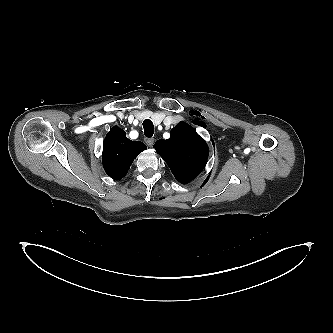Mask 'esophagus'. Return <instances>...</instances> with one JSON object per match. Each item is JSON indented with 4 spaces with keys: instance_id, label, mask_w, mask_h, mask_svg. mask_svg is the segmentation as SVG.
<instances>
[{
    "instance_id": "obj_1",
    "label": "esophagus",
    "mask_w": 333,
    "mask_h": 333,
    "mask_svg": "<svg viewBox=\"0 0 333 333\" xmlns=\"http://www.w3.org/2000/svg\"><path fill=\"white\" fill-rule=\"evenodd\" d=\"M155 139L154 138H146L145 142L149 147H152L154 144Z\"/></svg>"
}]
</instances>
